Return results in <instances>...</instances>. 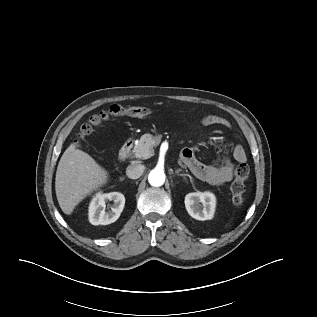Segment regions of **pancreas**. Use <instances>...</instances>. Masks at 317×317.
<instances>
[{"label":"pancreas","mask_w":317,"mask_h":317,"mask_svg":"<svg viewBox=\"0 0 317 317\" xmlns=\"http://www.w3.org/2000/svg\"><path fill=\"white\" fill-rule=\"evenodd\" d=\"M156 145L151 134H144L136 141L133 154L136 158H149L152 155L153 147Z\"/></svg>","instance_id":"cf45deb5"}]
</instances>
